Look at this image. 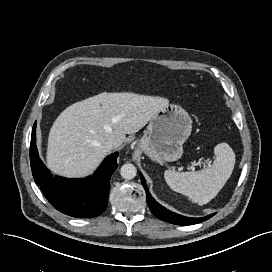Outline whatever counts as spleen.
Returning a JSON list of instances; mask_svg holds the SVG:
<instances>
[{
	"label": "spleen",
	"mask_w": 272,
	"mask_h": 272,
	"mask_svg": "<svg viewBox=\"0 0 272 272\" xmlns=\"http://www.w3.org/2000/svg\"><path fill=\"white\" fill-rule=\"evenodd\" d=\"M214 154L212 166L199 171L165 170L164 178L169 187L199 205L210 202L230 178L235 165L234 151L227 143L216 145Z\"/></svg>",
	"instance_id": "obj_1"
}]
</instances>
